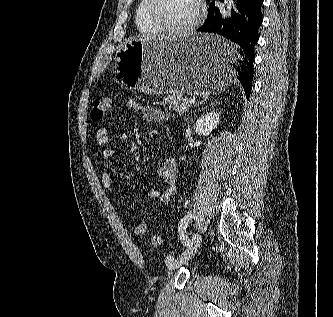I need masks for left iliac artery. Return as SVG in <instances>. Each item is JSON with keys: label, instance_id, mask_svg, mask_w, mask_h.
Instances as JSON below:
<instances>
[{"label": "left iliac artery", "instance_id": "left-iliac-artery-1", "mask_svg": "<svg viewBox=\"0 0 333 317\" xmlns=\"http://www.w3.org/2000/svg\"><path fill=\"white\" fill-rule=\"evenodd\" d=\"M194 217V215L192 213H189L187 215H185L180 223H179V227H178V233H179V237L182 241V243L189 247L190 246V239L188 238V235L186 233V228L188 226L189 221ZM188 250V249H187ZM186 250V251H187ZM174 260L173 256H167L165 259V262L168 264L170 262H172Z\"/></svg>", "mask_w": 333, "mask_h": 317}]
</instances>
